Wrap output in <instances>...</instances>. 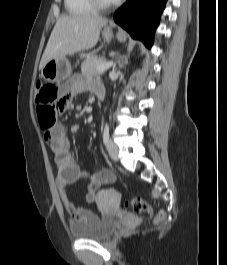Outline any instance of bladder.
<instances>
[{"mask_svg":"<svg viewBox=\"0 0 227 265\" xmlns=\"http://www.w3.org/2000/svg\"><path fill=\"white\" fill-rule=\"evenodd\" d=\"M116 226L114 217L105 216L92 224H73L70 226V233L76 239L103 240L113 233Z\"/></svg>","mask_w":227,"mask_h":265,"instance_id":"obj_1","label":"bladder"}]
</instances>
